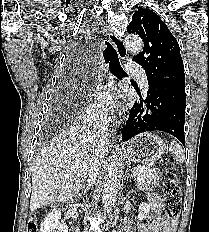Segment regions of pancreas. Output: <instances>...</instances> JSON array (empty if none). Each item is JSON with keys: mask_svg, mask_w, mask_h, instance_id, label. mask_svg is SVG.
Wrapping results in <instances>:
<instances>
[{"mask_svg": "<svg viewBox=\"0 0 209 232\" xmlns=\"http://www.w3.org/2000/svg\"><path fill=\"white\" fill-rule=\"evenodd\" d=\"M134 179L139 190H148L158 185L160 173L156 169L135 167Z\"/></svg>", "mask_w": 209, "mask_h": 232, "instance_id": "1", "label": "pancreas"}]
</instances>
